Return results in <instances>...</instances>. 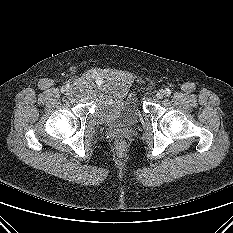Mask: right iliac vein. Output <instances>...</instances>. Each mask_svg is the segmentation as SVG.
I'll use <instances>...</instances> for the list:
<instances>
[{"instance_id":"63e3f726","label":"right iliac vein","mask_w":233,"mask_h":233,"mask_svg":"<svg viewBox=\"0 0 233 233\" xmlns=\"http://www.w3.org/2000/svg\"><path fill=\"white\" fill-rule=\"evenodd\" d=\"M68 94H72V88L67 90Z\"/></svg>"}]
</instances>
